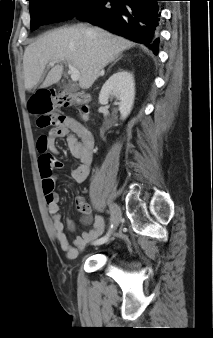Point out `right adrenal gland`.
<instances>
[{"label":"right adrenal gland","instance_id":"obj_1","mask_svg":"<svg viewBox=\"0 0 213 338\" xmlns=\"http://www.w3.org/2000/svg\"><path fill=\"white\" fill-rule=\"evenodd\" d=\"M121 57H122V55H119V56L116 57V59H114V60L112 61L111 65H110L109 68H108V71L110 70L111 67H113V66L116 64L117 61H119V59H121ZM101 76H104V73H103V72L101 73Z\"/></svg>","mask_w":213,"mask_h":338}]
</instances>
